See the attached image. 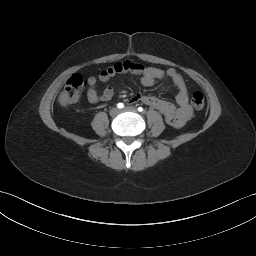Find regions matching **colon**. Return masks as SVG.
<instances>
[{"label":"colon","instance_id":"1","mask_svg":"<svg viewBox=\"0 0 256 256\" xmlns=\"http://www.w3.org/2000/svg\"><path fill=\"white\" fill-rule=\"evenodd\" d=\"M85 84V79L80 73L72 74L59 96L60 104L68 106L76 103L81 96ZM191 104L196 110H201L205 106L204 95L198 91L194 92L191 97Z\"/></svg>","mask_w":256,"mask_h":256}]
</instances>
